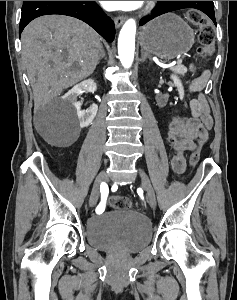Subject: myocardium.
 Here are the masks:
<instances>
[{
  "mask_svg": "<svg viewBox=\"0 0 237 300\" xmlns=\"http://www.w3.org/2000/svg\"><path fill=\"white\" fill-rule=\"evenodd\" d=\"M151 9V3H147L146 5V11H149Z\"/></svg>",
  "mask_w": 237,
  "mask_h": 300,
  "instance_id": "1",
  "label": "myocardium"
}]
</instances>
